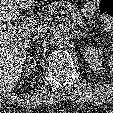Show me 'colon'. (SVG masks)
<instances>
[{"label": "colon", "mask_w": 113, "mask_h": 113, "mask_svg": "<svg viewBox=\"0 0 113 113\" xmlns=\"http://www.w3.org/2000/svg\"><path fill=\"white\" fill-rule=\"evenodd\" d=\"M101 17L107 22H113V0H101L98 4Z\"/></svg>", "instance_id": "obj_1"}]
</instances>
